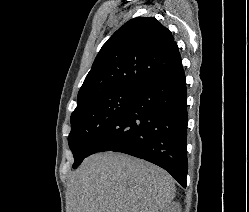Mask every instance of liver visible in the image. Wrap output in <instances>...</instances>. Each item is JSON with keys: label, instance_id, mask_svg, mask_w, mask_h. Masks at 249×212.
Wrapping results in <instances>:
<instances>
[{"label": "liver", "instance_id": "obj_1", "mask_svg": "<svg viewBox=\"0 0 249 212\" xmlns=\"http://www.w3.org/2000/svg\"><path fill=\"white\" fill-rule=\"evenodd\" d=\"M67 198V212H165L175 184L154 164L105 152L85 158L73 172Z\"/></svg>", "mask_w": 249, "mask_h": 212}]
</instances>
